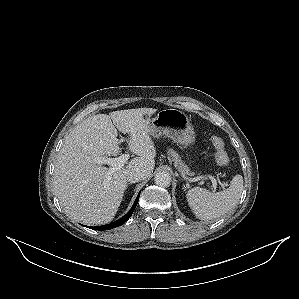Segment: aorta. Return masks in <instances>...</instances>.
I'll list each match as a JSON object with an SVG mask.
<instances>
[{"label": "aorta", "mask_w": 299, "mask_h": 299, "mask_svg": "<svg viewBox=\"0 0 299 299\" xmlns=\"http://www.w3.org/2000/svg\"><path fill=\"white\" fill-rule=\"evenodd\" d=\"M156 185L160 187H168L171 183V175L167 172H158L154 177Z\"/></svg>", "instance_id": "obj_1"}]
</instances>
